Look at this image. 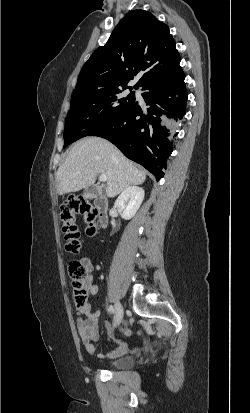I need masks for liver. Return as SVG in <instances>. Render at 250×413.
<instances>
[{
	"mask_svg": "<svg viewBox=\"0 0 250 413\" xmlns=\"http://www.w3.org/2000/svg\"><path fill=\"white\" fill-rule=\"evenodd\" d=\"M107 176L106 195L115 197L126 188L140 185L146 173L126 158L109 141L85 137L70 149L56 173L58 195L77 192L92 186L98 175Z\"/></svg>",
	"mask_w": 250,
	"mask_h": 413,
	"instance_id": "obj_1",
	"label": "liver"
}]
</instances>
